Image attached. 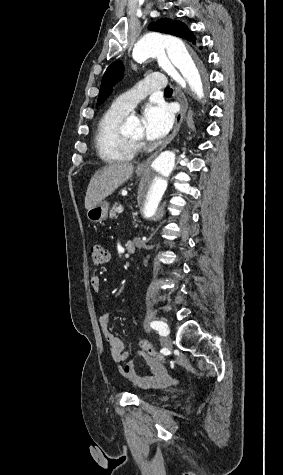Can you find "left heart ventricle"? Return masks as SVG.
Returning a JSON list of instances; mask_svg holds the SVG:
<instances>
[{
	"mask_svg": "<svg viewBox=\"0 0 283 475\" xmlns=\"http://www.w3.org/2000/svg\"><path fill=\"white\" fill-rule=\"evenodd\" d=\"M131 139H141L144 136V131L142 125L139 123L138 126L128 134H124Z\"/></svg>",
	"mask_w": 283,
	"mask_h": 475,
	"instance_id": "b2bd125f",
	"label": "left heart ventricle"
}]
</instances>
